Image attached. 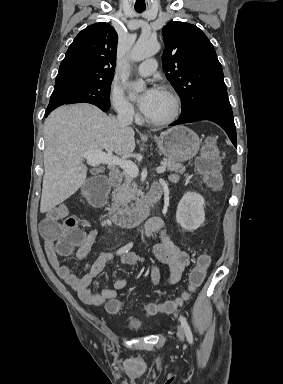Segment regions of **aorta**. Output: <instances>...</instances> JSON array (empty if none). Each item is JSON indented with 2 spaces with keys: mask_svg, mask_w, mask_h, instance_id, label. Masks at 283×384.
Returning <instances> with one entry per match:
<instances>
[{
  "mask_svg": "<svg viewBox=\"0 0 283 384\" xmlns=\"http://www.w3.org/2000/svg\"><path fill=\"white\" fill-rule=\"evenodd\" d=\"M159 50L160 44L158 41L139 39L129 53V58L132 61H141L155 55ZM133 87L137 91H142L145 86L144 83L140 81L133 84Z\"/></svg>",
  "mask_w": 283,
  "mask_h": 384,
  "instance_id": "obj_1",
  "label": "aorta"
}]
</instances>
